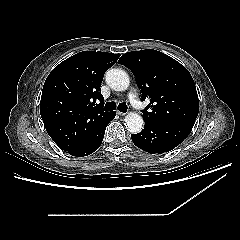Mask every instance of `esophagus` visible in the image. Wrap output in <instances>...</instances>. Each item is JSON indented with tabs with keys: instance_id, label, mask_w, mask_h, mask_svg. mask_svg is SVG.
Returning <instances> with one entry per match:
<instances>
[{
	"instance_id": "1",
	"label": "esophagus",
	"mask_w": 240,
	"mask_h": 240,
	"mask_svg": "<svg viewBox=\"0 0 240 240\" xmlns=\"http://www.w3.org/2000/svg\"><path fill=\"white\" fill-rule=\"evenodd\" d=\"M117 114L120 115V116H125L126 115L125 112H121V111H117Z\"/></svg>"
}]
</instances>
